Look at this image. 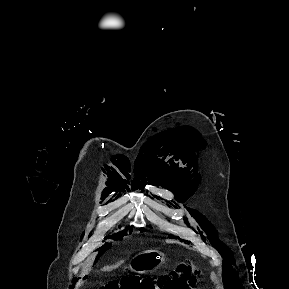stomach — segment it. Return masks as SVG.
<instances>
[{"instance_id": "1", "label": "stomach", "mask_w": 289, "mask_h": 289, "mask_svg": "<svg viewBox=\"0 0 289 289\" xmlns=\"http://www.w3.org/2000/svg\"><path fill=\"white\" fill-rule=\"evenodd\" d=\"M163 261V254L157 250H148L136 255L129 263L128 269L143 274L150 272Z\"/></svg>"}]
</instances>
